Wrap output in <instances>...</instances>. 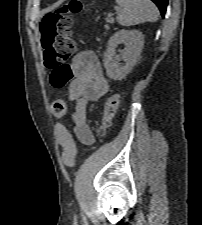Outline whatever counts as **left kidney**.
Returning a JSON list of instances; mask_svg holds the SVG:
<instances>
[{
    "mask_svg": "<svg viewBox=\"0 0 202 225\" xmlns=\"http://www.w3.org/2000/svg\"><path fill=\"white\" fill-rule=\"evenodd\" d=\"M124 44L122 57L115 56V48ZM144 45V35L138 30H119L108 41L107 50L104 53V66L107 76L114 80H122L131 72L140 57ZM125 64L120 66L119 61Z\"/></svg>",
    "mask_w": 202,
    "mask_h": 225,
    "instance_id": "1",
    "label": "left kidney"
}]
</instances>
